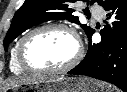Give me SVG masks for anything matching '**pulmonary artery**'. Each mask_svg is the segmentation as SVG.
Wrapping results in <instances>:
<instances>
[{
	"instance_id": "e3ab8cb5",
	"label": "pulmonary artery",
	"mask_w": 127,
	"mask_h": 92,
	"mask_svg": "<svg viewBox=\"0 0 127 92\" xmlns=\"http://www.w3.org/2000/svg\"><path fill=\"white\" fill-rule=\"evenodd\" d=\"M92 13H93V15L95 16V18L98 19V20H101L102 17H103V11L100 10V9H95V8H93V9H92Z\"/></svg>"
}]
</instances>
